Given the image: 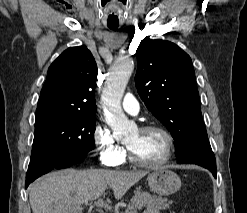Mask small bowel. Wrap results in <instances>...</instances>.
Here are the masks:
<instances>
[{"label":"small bowel","mask_w":247,"mask_h":213,"mask_svg":"<svg viewBox=\"0 0 247 213\" xmlns=\"http://www.w3.org/2000/svg\"><path fill=\"white\" fill-rule=\"evenodd\" d=\"M144 213H159V211L155 207L150 206L145 210Z\"/></svg>","instance_id":"obj_1"}]
</instances>
